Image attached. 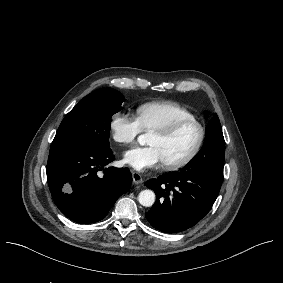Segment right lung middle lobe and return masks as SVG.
I'll return each instance as SVG.
<instances>
[{
    "label": "right lung middle lobe",
    "instance_id": "dd1d6c3e",
    "mask_svg": "<svg viewBox=\"0 0 283 283\" xmlns=\"http://www.w3.org/2000/svg\"><path fill=\"white\" fill-rule=\"evenodd\" d=\"M123 101V95L112 88L85 96L61 122L51 148L86 146L110 150L111 118L121 110Z\"/></svg>",
    "mask_w": 283,
    "mask_h": 283
}]
</instances>
